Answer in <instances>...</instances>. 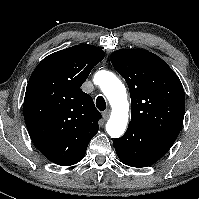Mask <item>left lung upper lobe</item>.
Masks as SVG:
<instances>
[{"mask_svg": "<svg viewBox=\"0 0 199 199\" xmlns=\"http://www.w3.org/2000/svg\"><path fill=\"white\" fill-rule=\"evenodd\" d=\"M110 60L126 80L131 96V121L175 141L183 124L185 93L180 79L157 55L120 49Z\"/></svg>", "mask_w": 199, "mask_h": 199, "instance_id": "5c2ea615", "label": "left lung upper lobe"}]
</instances>
